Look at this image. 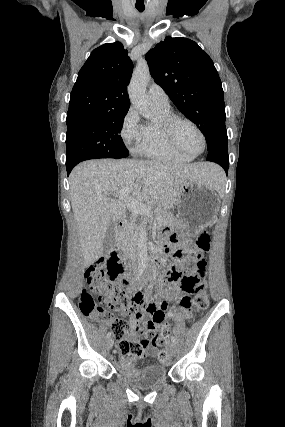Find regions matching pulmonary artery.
<instances>
[{
  "mask_svg": "<svg viewBox=\"0 0 285 427\" xmlns=\"http://www.w3.org/2000/svg\"><path fill=\"white\" fill-rule=\"evenodd\" d=\"M149 97L154 105L160 107L169 106V97L167 93L158 85H151L149 88Z\"/></svg>",
  "mask_w": 285,
  "mask_h": 427,
  "instance_id": "obj_1",
  "label": "pulmonary artery"
}]
</instances>
